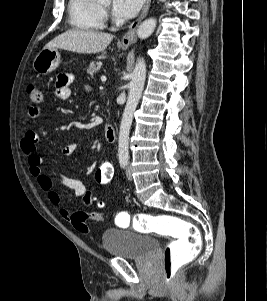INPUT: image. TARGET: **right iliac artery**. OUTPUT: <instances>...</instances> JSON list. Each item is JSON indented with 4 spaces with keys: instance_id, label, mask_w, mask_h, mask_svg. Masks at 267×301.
Returning <instances> with one entry per match:
<instances>
[{
    "instance_id": "right-iliac-artery-1",
    "label": "right iliac artery",
    "mask_w": 267,
    "mask_h": 301,
    "mask_svg": "<svg viewBox=\"0 0 267 301\" xmlns=\"http://www.w3.org/2000/svg\"><path fill=\"white\" fill-rule=\"evenodd\" d=\"M120 164H121V167L124 169L127 163L126 162H121Z\"/></svg>"
}]
</instances>
